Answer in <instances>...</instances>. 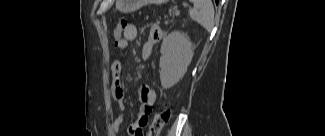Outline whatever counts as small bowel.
<instances>
[{"label": "small bowel", "instance_id": "small-bowel-1", "mask_svg": "<svg viewBox=\"0 0 325 136\" xmlns=\"http://www.w3.org/2000/svg\"><path fill=\"white\" fill-rule=\"evenodd\" d=\"M137 27L132 23H127L120 31V36H116L114 31V44L117 50H124L128 44L134 41L137 37ZM162 36V30L159 26H153L147 39L141 47V56L148 58L151 54L152 47L157 43ZM123 71V65L120 61H113L111 64V73L113 77L112 92L116 101V116L113 122V126L116 130H119L124 120V100L125 92L121 81V75ZM155 94L153 89L148 85H143L139 89V111L136 119L128 126V133L132 136H143V128L148 124L149 117L152 111V105L154 103Z\"/></svg>", "mask_w": 325, "mask_h": 136}]
</instances>
